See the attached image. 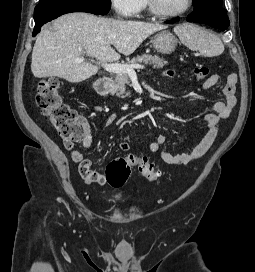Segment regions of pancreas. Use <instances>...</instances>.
I'll use <instances>...</instances> for the list:
<instances>
[{"mask_svg":"<svg viewBox=\"0 0 255 272\" xmlns=\"http://www.w3.org/2000/svg\"><path fill=\"white\" fill-rule=\"evenodd\" d=\"M139 63L152 64L154 68H163L167 64V61L157 55L143 54L141 56L134 57L128 65H135ZM130 85V79L127 73H117L115 75V80L111 89L112 93L120 98H125L130 96V92L126 90V87Z\"/></svg>","mask_w":255,"mask_h":272,"instance_id":"pancreas-1","label":"pancreas"}]
</instances>
